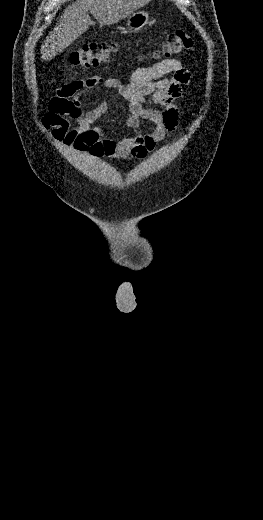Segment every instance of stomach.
I'll list each match as a JSON object with an SVG mask.
<instances>
[{
  "mask_svg": "<svg viewBox=\"0 0 263 520\" xmlns=\"http://www.w3.org/2000/svg\"><path fill=\"white\" fill-rule=\"evenodd\" d=\"M149 14L146 11H136L127 18V28L130 32H138L149 22Z\"/></svg>",
  "mask_w": 263,
  "mask_h": 520,
  "instance_id": "obj_1",
  "label": "stomach"
}]
</instances>
